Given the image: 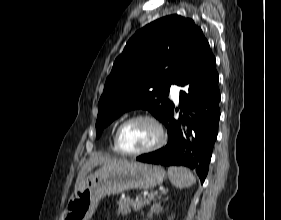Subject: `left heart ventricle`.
Instances as JSON below:
<instances>
[{"instance_id":"b2bd125f","label":"left heart ventricle","mask_w":281,"mask_h":220,"mask_svg":"<svg viewBox=\"0 0 281 220\" xmlns=\"http://www.w3.org/2000/svg\"><path fill=\"white\" fill-rule=\"evenodd\" d=\"M158 139L156 126L146 120L131 122L121 132L120 143L126 151H138L154 144Z\"/></svg>"}]
</instances>
